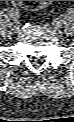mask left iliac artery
<instances>
[{
    "mask_svg": "<svg viewBox=\"0 0 74 122\" xmlns=\"http://www.w3.org/2000/svg\"><path fill=\"white\" fill-rule=\"evenodd\" d=\"M58 25L61 27L62 26V22L61 21H58Z\"/></svg>",
    "mask_w": 74,
    "mask_h": 122,
    "instance_id": "1",
    "label": "left iliac artery"
}]
</instances>
